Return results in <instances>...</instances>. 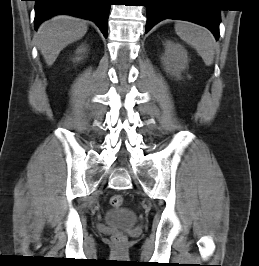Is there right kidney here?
Masks as SVG:
<instances>
[{"mask_svg": "<svg viewBox=\"0 0 259 266\" xmlns=\"http://www.w3.org/2000/svg\"><path fill=\"white\" fill-rule=\"evenodd\" d=\"M87 51V48L85 45H81L79 48L76 50L77 57L74 59V61H80L82 59V54H85Z\"/></svg>", "mask_w": 259, "mask_h": 266, "instance_id": "right-kidney-1", "label": "right kidney"}]
</instances>
